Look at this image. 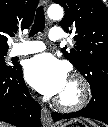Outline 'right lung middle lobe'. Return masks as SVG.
<instances>
[{"label":"right lung middle lobe","mask_w":108,"mask_h":127,"mask_svg":"<svg viewBox=\"0 0 108 127\" xmlns=\"http://www.w3.org/2000/svg\"><path fill=\"white\" fill-rule=\"evenodd\" d=\"M7 54V50H0V66L5 68H10L11 66L5 65V55Z\"/></svg>","instance_id":"1"}]
</instances>
